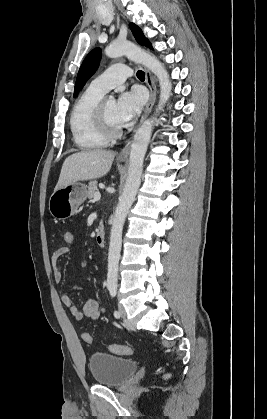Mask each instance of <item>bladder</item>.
<instances>
[{"mask_svg":"<svg viewBox=\"0 0 267 419\" xmlns=\"http://www.w3.org/2000/svg\"><path fill=\"white\" fill-rule=\"evenodd\" d=\"M88 366L93 381L107 387L123 385L138 369L136 361L104 352L91 354Z\"/></svg>","mask_w":267,"mask_h":419,"instance_id":"31cf9c89","label":"bladder"}]
</instances>
